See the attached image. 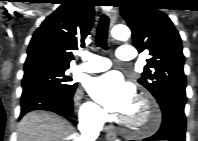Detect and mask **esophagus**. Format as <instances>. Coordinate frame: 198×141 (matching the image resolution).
I'll list each match as a JSON object with an SVG mask.
<instances>
[{"instance_id": "obj_1", "label": "esophagus", "mask_w": 198, "mask_h": 141, "mask_svg": "<svg viewBox=\"0 0 198 141\" xmlns=\"http://www.w3.org/2000/svg\"><path fill=\"white\" fill-rule=\"evenodd\" d=\"M109 17H110V30H111L117 19V13L114 9L109 12ZM110 39L112 40L111 35H110ZM105 130H106V137L108 140H113L116 137V131L114 127L108 125L105 127Z\"/></svg>"}]
</instances>
